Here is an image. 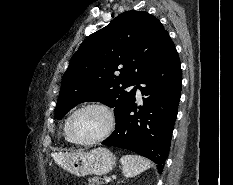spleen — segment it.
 <instances>
[{
    "label": "spleen",
    "instance_id": "1",
    "mask_svg": "<svg viewBox=\"0 0 233 185\" xmlns=\"http://www.w3.org/2000/svg\"><path fill=\"white\" fill-rule=\"evenodd\" d=\"M123 174L126 178H132L148 170L152 164L149 160L138 155H125L121 158Z\"/></svg>",
    "mask_w": 233,
    "mask_h": 185
}]
</instances>
